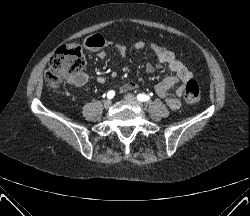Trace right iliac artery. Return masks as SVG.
Segmentation results:
<instances>
[{
    "mask_svg": "<svg viewBox=\"0 0 250 216\" xmlns=\"http://www.w3.org/2000/svg\"><path fill=\"white\" fill-rule=\"evenodd\" d=\"M115 96V92L113 90H110L108 93H107V97L109 99H112L113 97Z\"/></svg>",
    "mask_w": 250,
    "mask_h": 216,
    "instance_id": "82829eb1",
    "label": "right iliac artery"
}]
</instances>
